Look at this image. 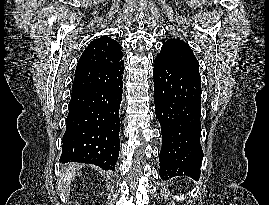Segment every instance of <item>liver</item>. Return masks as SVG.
Segmentation results:
<instances>
[{
    "mask_svg": "<svg viewBox=\"0 0 269 205\" xmlns=\"http://www.w3.org/2000/svg\"><path fill=\"white\" fill-rule=\"evenodd\" d=\"M76 170H78V168L76 167V165L71 164L69 165L66 170L65 173L62 174L61 176V180L63 182H66L67 186L70 185L71 181L74 180L75 178V174H76ZM81 173H77V175H80Z\"/></svg>",
    "mask_w": 269,
    "mask_h": 205,
    "instance_id": "obj_1",
    "label": "liver"
}]
</instances>
